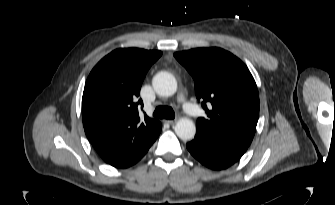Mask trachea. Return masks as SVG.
Returning a JSON list of instances; mask_svg holds the SVG:
<instances>
[{"label":"trachea","mask_w":335,"mask_h":205,"mask_svg":"<svg viewBox=\"0 0 335 205\" xmlns=\"http://www.w3.org/2000/svg\"><path fill=\"white\" fill-rule=\"evenodd\" d=\"M153 116L157 118H165V119H174L175 118V113L171 107L168 106H158L154 113Z\"/></svg>","instance_id":"trachea-1"}]
</instances>
